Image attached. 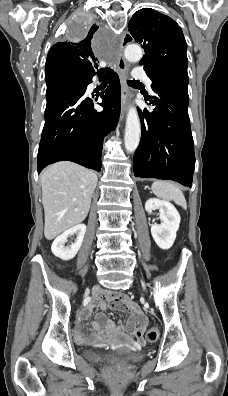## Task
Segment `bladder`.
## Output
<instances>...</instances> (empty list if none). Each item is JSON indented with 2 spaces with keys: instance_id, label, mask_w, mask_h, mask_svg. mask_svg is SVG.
Masks as SVG:
<instances>
[{
  "instance_id": "obj_1",
  "label": "bladder",
  "mask_w": 228,
  "mask_h": 396,
  "mask_svg": "<svg viewBox=\"0 0 228 396\" xmlns=\"http://www.w3.org/2000/svg\"><path fill=\"white\" fill-rule=\"evenodd\" d=\"M84 356L93 362H103V361H116V362H131L143 358L146 353L144 351H130L127 349H117V350H103L87 348L84 350Z\"/></svg>"
}]
</instances>
